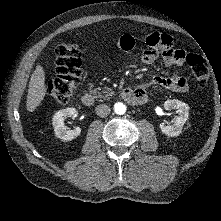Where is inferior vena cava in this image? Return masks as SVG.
<instances>
[{"instance_id": "602c4592", "label": "inferior vena cava", "mask_w": 221, "mask_h": 221, "mask_svg": "<svg viewBox=\"0 0 221 221\" xmlns=\"http://www.w3.org/2000/svg\"><path fill=\"white\" fill-rule=\"evenodd\" d=\"M96 114L101 117V118H104V117H107L109 114H110V107H108L107 105H99L96 107Z\"/></svg>"}]
</instances>
